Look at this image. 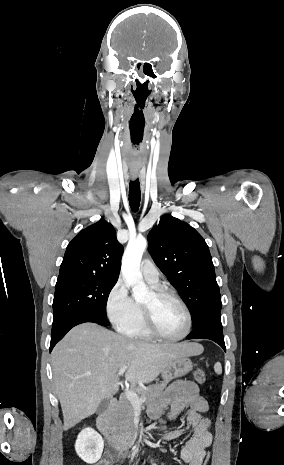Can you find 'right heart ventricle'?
Returning <instances> with one entry per match:
<instances>
[{"mask_svg": "<svg viewBox=\"0 0 284 465\" xmlns=\"http://www.w3.org/2000/svg\"><path fill=\"white\" fill-rule=\"evenodd\" d=\"M144 315L142 312V307H139L138 313L135 319L127 326L121 329L123 335L127 338L148 341L151 340V337L146 333L143 327Z\"/></svg>", "mask_w": 284, "mask_h": 465, "instance_id": "e07e8e85", "label": "right heart ventricle"}]
</instances>
